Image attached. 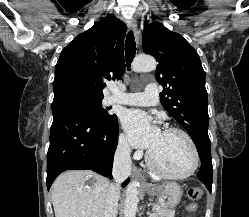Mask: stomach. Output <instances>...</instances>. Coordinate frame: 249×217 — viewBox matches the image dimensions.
<instances>
[{"label":"stomach","mask_w":249,"mask_h":217,"mask_svg":"<svg viewBox=\"0 0 249 217\" xmlns=\"http://www.w3.org/2000/svg\"><path fill=\"white\" fill-rule=\"evenodd\" d=\"M144 190L151 196H157L159 205L166 210L176 207L183 194L181 187L176 182L146 185Z\"/></svg>","instance_id":"stomach-1"}]
</instances>
